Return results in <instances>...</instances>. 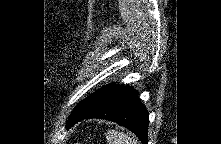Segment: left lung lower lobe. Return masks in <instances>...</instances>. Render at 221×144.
Wrapping results in <instances>:
<instances>
[{
	"label": "left lung lower lobe",
	"instance_id": "obj_1",
	"mask_svg": "<svg viewBox=\"0 0 221 144\" xmlns=\"http://www.w3.org/2000/svg\"><path fill=\"white\" fill-rule=\"evenodd\" d=\"M86 118L116 122L132 131L143 144H147L148 111L132 87L113 84L94 107L71 121L67 128Z\"/></svg>",
	"mask_w": 221,
	"mask_h": 144
}]
</instances>
